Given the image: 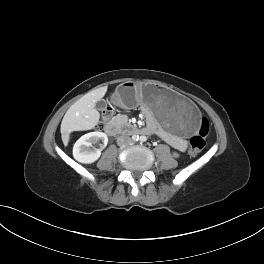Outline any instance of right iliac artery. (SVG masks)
I'll return each mask as SVG.
<instances>
[{
	"instance_id": "82829eb1",
	"label": "right iliac artery",
	"mask_w": 264,
	"mask_h": 264,
	"mask_svg": "<svg viewBox=\"0 0 264 264\" xmlns=\"http://www.w3.org/2000/svg\"><path fill=\"white\" fill-rule=\"evenodd\" d=\"M132 139H133L134 141H138V140H139V135H138V134L133 135V136H132Z\"/></svg>"
}]
</instances>
